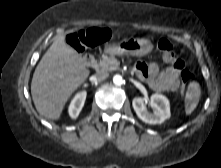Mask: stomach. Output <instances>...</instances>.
Segmentation results:
<instances>
[{
  "mask_svg": "<svg viewBox=\"0 0 221 168\" xmlns=\"http://www.w3.org/2000/svg\"><path fill=\"white\" fill-rule=\"evenodd\" d=\"M153 49L150 40L140 38H128L119 43L109 44L105 47V52L111 55H133L143 56Z\"/></svg>",
  "mask_w": 221,
  "mask_h": 168,
  "instance_id": "obj_1",
  "label": "stomach"
}]
</instances>
